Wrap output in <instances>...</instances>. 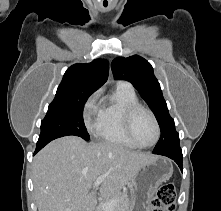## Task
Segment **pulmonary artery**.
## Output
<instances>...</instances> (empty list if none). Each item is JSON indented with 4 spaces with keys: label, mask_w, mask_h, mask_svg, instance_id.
Returning a JSON list of instances; mask_svg holds the SVG:
<instances>
[{
    "label": "pulmonary artery",
    "mask_w": 221,
    "mask_h": 211,
    "mask_svg": "<svg viewBox=\"0 0 221 211\" xmlns=\"http://www.w3.org/2000/svg\"><path fill=\"white\" fill-rule=\"evenodd\" d=\"M119 84H126V85H129V86H130V84L127 83V82H119Z\"/></svg>",
    "instance_id": "pulmonary-artery-1"
}]
</instances>
